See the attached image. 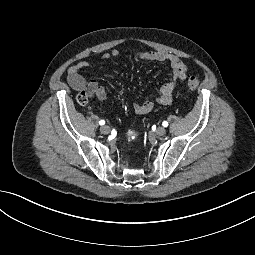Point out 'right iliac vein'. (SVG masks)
I'll return each instance as SVG.
<instances>
[{"label": "right iliac vein", "instance_id": "1", "mask_svg": "<svg viewBox=\"0 0 255 255\" xmlns=\"http://www.w3.org/2000/svg\"><path fill=\"white\" fill-rule=\"evenodd\" d=\"M100 132H101L102 134H109V133H110V127L107 126V125H104V126H102V127L100 128Z\"/></svg>", "mask_w": 255, "mask_h": 255}]
</instances>
